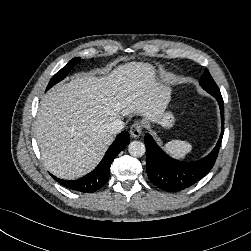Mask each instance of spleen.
Returning <instances> with one entry per match:
<instances>
[{"label":"spleen","mask_w":251,"mask_h":251,"mask_svg":"<svg viewBox=\"0 0 251 251\" xmlns=\"http://www.w3.org/2000/svg\"><path fill=\"white\" fill-rule=\"evenodd\" d=\"M164 149L173 157L184 158L191 151L192 146L185 141L173 140L166 143Z\"/></svg>","instance_id":"spleen-1"}]
</instances>
